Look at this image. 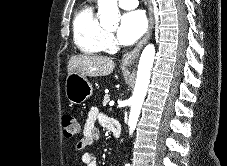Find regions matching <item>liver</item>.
<instances>
[{
  "label": "liver",
  "instance_id": "liver-1",
  "mask_svg": "<svg viewBox=\"0 0 227 166\" xmlns=\"http://www.w3.org/2000/svg\"><path fill=\"white\" fill-rule=\"evenodd\" d=\"M114 61L110 57L99 55H75L68 62V75L78 73L82 76L99 77L113 72Z\"/></svg>",
  "mask_w": 227,
  "mask_h": 166
}]
</instances>
